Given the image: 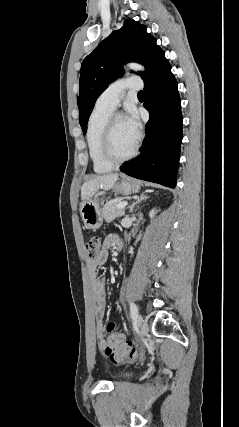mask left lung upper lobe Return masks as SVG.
Listing matches in <instances>:
<instances>
[{
	"label": "left lung upper lobe",
	"instance_id": "1",
	"mask_svg": "<svg viewBox=\"0 0 239 427\" xmlns=\"http://www.w3.org/2000/svg\"><path fill=\"white\" fill-rule=\"evenodd\" d=\"M130 61L146 67V72H139L144 81L154 76L167 62L156 39L146 32L144 25L133 19L125 20L120 30L112 32L83 60L77 102L79 123L84 134L97 98L109 83L123 75L122 65Z\"/></svg>",
	"mask_w": 239,
	"mask_h": 427
}]
</instances>
